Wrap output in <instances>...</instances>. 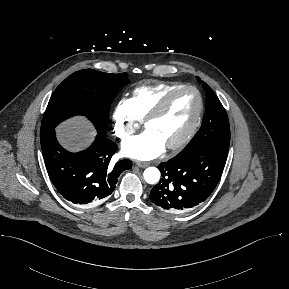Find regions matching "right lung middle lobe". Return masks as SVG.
Instances as JSON below:
<instances>
[{
    "mask_svg": "<svg viewBox=\"0 0 289 289\" xmlns=\"http://www.w3.org/2000/svg\"><path fill=\"white\" fill-rule=\"evenodd\" d=\"M128 83V75L85 69L67 77L52 94L45 110L41 133L54 129L75 115L86 116L98 134L106 136L110 105Z\"/></svg>",
    "mask_w": 289,
    "mask_h": 289,
    "instance_id": "1",
    "label": "right lung middle lobe"
}]
</instances>
